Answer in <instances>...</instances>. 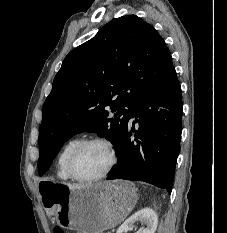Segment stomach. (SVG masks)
Segmentation results:
<instances>
[{"label": "stomach", "instance_id": "1", "mask_svg": "<svg viewBox=\"0 0 227 233\" xmlns=\"http://www.w3.org/2000/svg\"><path fill=\"white\" fill-rule=\"evenodd\" d=\"M41 201L57 223L80 233H102L122 222L137 203L132 183L122 180L69 187L55 181L39 185Z\"/></svg>", "mask_w": 227, "mask_h": 233}]
</instances>
